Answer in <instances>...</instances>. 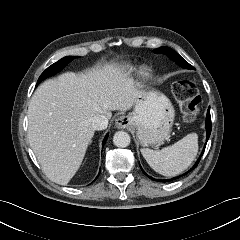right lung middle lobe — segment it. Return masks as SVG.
I'll return each instance as SVG.
<instances>
[{
    "mask_svg": "<svg viewBox=\"0 0 240 240\" xmlns=\"http://www.w3.org/2000/svg\"><path fill=\"white\" fill-rule=\"evenodd\" d=\"M74 58H76V57L75 56H66V57L60 59L59 61H57L56 63L52 64L51 66H49L39 77V79L37 81V85L45 78L52 76V75L56 74L57 72H59L60 70H62Z\"/></svg>",
    "mask_w": 240,
    "mask_h": 240,
    "instance_id": "dd1d6c3e",
    "label": "right lung middle lobe"
}]
</instances>
